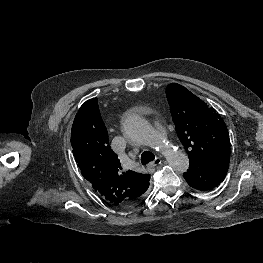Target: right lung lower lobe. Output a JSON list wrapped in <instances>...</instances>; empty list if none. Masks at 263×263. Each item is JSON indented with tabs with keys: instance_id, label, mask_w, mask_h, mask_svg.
I'll return each mask as SVG.
<instances>
[{
	"instance_id": "obj_1",
	"label": "right lung lower lobe",
	"mask_w": 263,
	"mask_h": 263,
	"mask_svg": "<svg viewBox=\"0 0 263 263\" xmlns=\"http://www.w3.org/2000/svg\"><path fill=\"white\" fill-rule=\"evenodd\" d=\"M146 190L147 189L143 190L137 197H135L134 199H132L131 201H129L125 205H122L121 207H130V206L136 204L137 202H139L141 200V198L143 197V194Z\"/></svg>"
}]
</instances>
